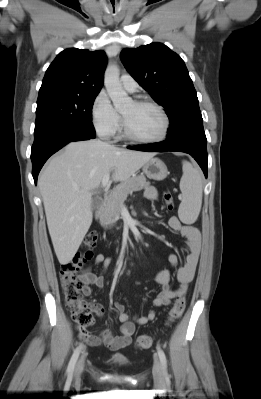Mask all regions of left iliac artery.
I'll return each mask as SVG.
<instances>
[{"label": "left iliac artery", "instance_id": "1", "mask_svg": "<svg viewBox=\"0 0 261 399\" xmlns=\"http://www.w3.org/2000/svg\"><path fill=\"white\" fill-rule=\"evenodd\" d=\"M158 355L162 364V368H163V374L165 377L168 376L167 373V359H166V355L164 353V351L161 348H158Z\"/></svg>", "mask_w": 261, "mask_h": 399}]
</instances>
